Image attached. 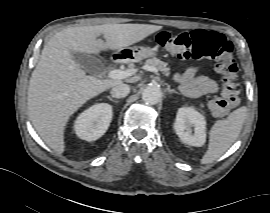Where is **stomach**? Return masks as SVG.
Listing matches in <instances>:
<instances>
[{"label":"stomach","instance_id":"0dacf381","mask_svg":"<svg viewBox=\"0 0 270 213\" xmlns=\"http://www.w3.org/2000/svg\"><path fill=\"white\" fill-rule=\"evenodd\" d=\"M118 54L124 61L139 62L146 58L155 57L157 55V49L143 46H134L124 48L118 51Z\"/></svg>","mask_w":270,"mask_h":213}]
</instances>
